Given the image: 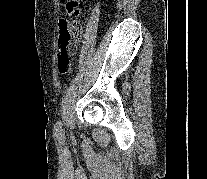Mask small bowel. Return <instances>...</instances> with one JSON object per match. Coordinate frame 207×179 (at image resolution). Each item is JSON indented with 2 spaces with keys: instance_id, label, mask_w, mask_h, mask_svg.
<instances>
[{
  "instance_id": "1",
  "label": "small bowel",
  "mask_w": 207,
  "mask_h": 179,
  "mask_svg": "<svg viewBox=\"0 0 207 179\" xmlns=\"http://www.w3.org/2000/svg\"><path fill=\"white\" fill-rule=\"evenodd\" d=\"M63 21H65V20H60V23H59V25L63 22Z\"/></svg>"
}]
</instances>
